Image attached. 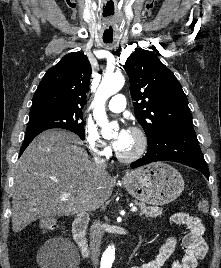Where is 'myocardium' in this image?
<instances>
[{
  "label": "myocardium",
  "instance_id": "1",
  "mask_svg": "<svg viewBox=\"0 0 221 268\" xmlns=\"http://www.w3.org/2000/svg\"><path fill=\"white\" fill-rule=\"evenodd\" d=\"M130 131L138 137L139 146L136 152L131 155H122L121 153L117 152V158L124 163H131L139 160L146 153L148 148V137L141 128L132 127Z\"/></svg>",
  "mask_w": 221,
  "mask_h": 268
}]
</instances>
